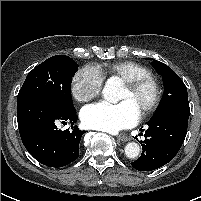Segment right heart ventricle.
I'll use <instances>...</instances> for the list:
<instances>
[{
    "instance_id": "e07e8e85",
    "label": "right heart ventricle",
    "mask_w": 201,
    "mask_h": 201,
    "mask_svg": "<svg viewBox=\"0 0 201 201\" xmlns=\"http://www.w3.org/2000/svg\"><path fill=\"white\" fill-rule=\"evenodd\" d=\"M98 71L103 78L119 79L123 82L150 74V71L145 66L129 60L105 64Z\"/></svg>"
}]
</instances>
